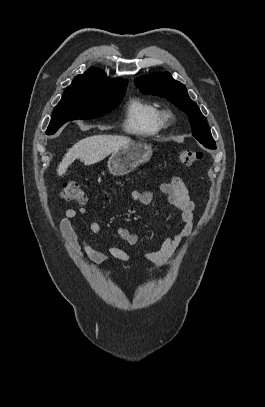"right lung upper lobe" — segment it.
Returning <instances> with one entry per match:
<instances>
[{
    "instance_id": "obj_1",
    "label": "right lung upper lobe",
    "mask_w": 265,
    "mask_h": 407,
    "mask_svg": "<svg viewBox=\"0 0 265 407\" xmlns=\"http://www.w3.org/2000/svg\"><path fill=\"white\" fill-rule=\"evenodd\" d=\"M87 81L104 85H127L128 81L122 78L110 79L101 70L90 68L84 74L78 75L74 78L73 82Z\"/></svg>"
}]
</instances>
